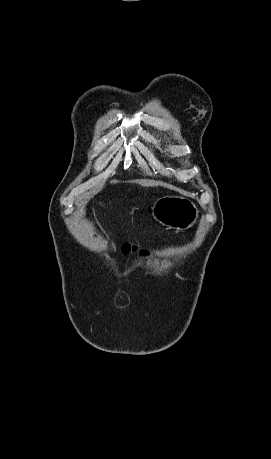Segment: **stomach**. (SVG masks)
<instances>
[{
    "label": "stomach",
    "mask_w": 271,
    "mask_h": 459,
    "mask_svg": "<svg viewBox=\"0 0 271 459\" xmlns=\"http://www.w3.org/2000/svg\"><path fill=\"white\" fill-rule=\"evenodd\" d=\"M152 216L156 222L166 226L167 229L183 231L195 224L198 220V210L186 198H160L152 208Z\"/></svg>",
    "instance_id": "0dacf381"
}]
</instances>
